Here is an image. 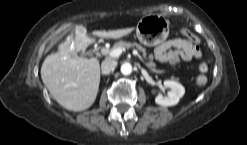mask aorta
Wrapping results in <instances>:
<instances>
[{
  "label": "aorta",
  "mask_w": 247,
  "mask_h": 145,
  "mask_svg": "<svg viewBox=\"0 0 247 145\" xmlns=\"http://www.w3.org/2000/svg\"><path fill=\"white\" fill-rule=\"evenodd\" d=\"M121 73L124 75H129L132 73V65L130 63H124L121 66Z\"/></svg>",
  "instance_id": "obj_1"
}]
</instances>
